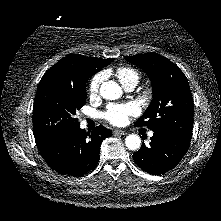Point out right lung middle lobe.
<instances>
[{
    "instance_id": "right-lung-middle-lobe-1",
    "label": "right lung middle lobe",
    "mask_w": 221,
    "mask_h": 221,
    "mask_svg": "<svg viewBox=\"0 0 221 221\" xmlns=\"http://www.w3.org/2000/svg\"><path fill=\"white\" fill-rule=\"evenodd\" d=\"M86 103V83H39L33 107L36 144H42L79 125L76 112Z\"/></svg>"
}]
</instances>
